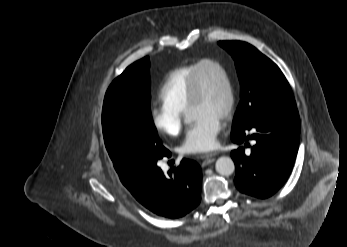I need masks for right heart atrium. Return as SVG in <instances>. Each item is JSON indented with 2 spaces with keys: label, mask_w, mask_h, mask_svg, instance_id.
<instances>
[{
  "label": "right heart atrium",
  "mask_w": 347,
  "mask_h": 247,
  "mask_svg": "<svg viewBox=\"0 0 347 247\" xmlns=\"http://www.w3.org/2000/svg\"><path fill=\"white\" fill-rule=\"evenodd\" d=\"M182 112L160 104L150 109V118L154 128L167 136H176L182 127Z\"/></svg>",
  "instance_id": "d8ad5b80"
}]
</instances>
